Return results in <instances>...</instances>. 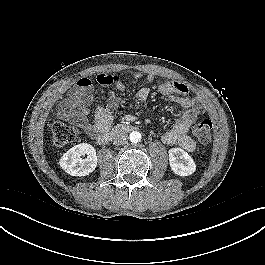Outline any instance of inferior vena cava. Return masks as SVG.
I'll list each match as a JSON object with an SVG mask.
<instances>
[{"label": "inferior vena cava", "instance_id": "obj_1", "mask_svg": "<svg viewBox=\"0 0 265 265\" xmlns=\"http://www.w3.org/2000/svg\"><path fill=\"white\" fill-rule=\"evenodd\" d=\"M127 142H128V136L124 132L115 135L113 138V144L116 146L124 145Z\"/></svg>", "mask_w": 265, "mask_h": 265}]
</instances>
